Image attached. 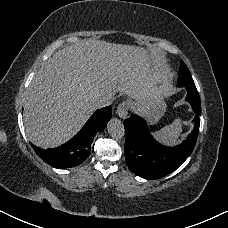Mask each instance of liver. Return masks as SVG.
Masks as SVG:
<instances>
[{
	"label": "liver",
	"instance_id": "obj_1",
	"mask_svg": "<svg viewBox=\"0 0 228 228\" xmlns=\"http://www.w3.org/2000/svg\"><path fill=\"white\" fill-rule=\"evenodd\" d=\"M168 66L163 53L134 45L83 39L55 52L30 83L24 99L26 135L35 146L70 140L92 115L89 94L117 92L132 99L165 97ZM153 101H149V104Z\"/></svg>",
	"mask_w": 228,
	"mask_h": 228
}]
</instances>
